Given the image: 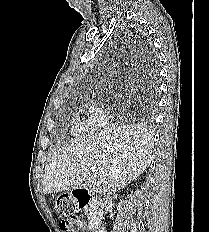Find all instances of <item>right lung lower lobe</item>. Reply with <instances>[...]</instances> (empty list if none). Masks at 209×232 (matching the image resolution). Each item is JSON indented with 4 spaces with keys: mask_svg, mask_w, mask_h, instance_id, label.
I'll use <instances>...</instances> for the list:
<instances>
[{
    "mask_svg": "<svg viewBox=\"0 0 209 232\" xmlns=\"http://www.w3.org/2000/svg\"><path fill=\"white\" fill-rule=\"evenodd\" d=\"M143 56V59L145 62H147V67L150 68L154 65L155 58L154 54L152 53V50L149 47L143 48V51H141Z\"/></svg>",
    "mask_w": 209,
    "mask_h": 232,
    "instance_id": "98d812e1",
    "label": "right lung lower lobe"
}]
</instances>
